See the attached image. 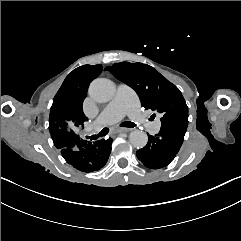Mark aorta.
<instances>
[{
  "label": "aorta",
  "instance_id": "762f6f07",
  "mask_svg": "<svg viewBox=\"0 0 241 241\" xmlns=\"http://www.w3.org/2000/svg\"><path fill=\"white\" fill-rule=\"evenodd\" d=\"M116 92L115 84L106 78H97L89 87V95L95 101L104 103L110 101ZM129 141L135 148H143L148 142V135L141 130H134L129 135Z\"/></svg>",
  "mask_w": 241,
  "mask_h": 241
}]
</instances>
